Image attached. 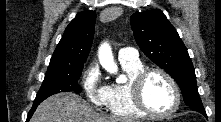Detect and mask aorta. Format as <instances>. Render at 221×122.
<instances>
[{"mask_svg":"<svg viewBox=\"0 0 221 122\" xmlns=\"http://www.w3.org/2000/svg\"><path fill=\"white\" fill-rule=\"evenodd\" d=\"M99 61L102 67L110 73L117 72V66L114 62V58L111 52V48L108 44H103L99 50ZM123 80V77H119V82Z\"/></svg>","mask_w":221,"mask_h":122,"instance_id":"obj_1","label":"aorta"}]
</instances>
